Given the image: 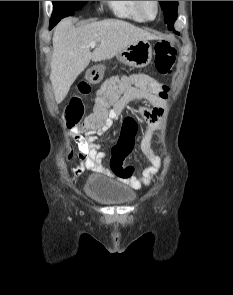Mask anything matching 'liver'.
I'll return each instance as SVG.
<instances>
[{"instance_id":"liver-1","label":"liver","mask_w":233,"mask_h":295,"mask_svg":"<svg viewBox=\"0 0 233 295\" xmlns=\"http://www.w3.org/2000/svg\"><path fill=\"white\" fill-rule=\"evenodd\" d=\"M155 39L158 37L123 20L107 19L75 27L72 18H64L52 39L50 80L56 102L64 100L90 61L111 59L134 42ZM91 41L98 43L93 52L89 50Z\"/></svg>"}]
</instances>
